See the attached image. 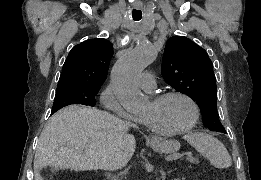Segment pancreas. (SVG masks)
<instances>
[{
  "label": "pancreas",
  "instance_id": "obj_1",
  "mask_svg": "<svg viewBox=\"0 0 261 180\" xmlns=\"http://www.w3.org/2000/svg\"><path fill=\"white\" fill-rule=\"evenodd\" d=\"M189 163H190V164H199V163H200V160L194 158V162H189Z\"/></svg>",
  "mask_w": 261,
  "mask_h": 180
}]
</instances>
